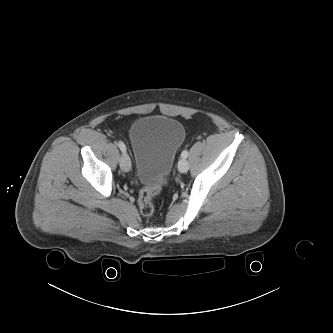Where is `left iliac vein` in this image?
<instances>
[{
  "mask_svg": "<svg viewBox=\"0 0 333 333\" xmlns=\"http://www.w3.org/2000/svg\"><path fill=\"white\" fill-rule=\"evenodd\" d=\"M178 169L181 173H186L189 169V163L186 159H181L178 163Z\"/></svg>",
  "mask_w": 333,
  "mask_h": 333,
  "instance_id": "left-iliac-vein-1",
  "label": "left iliac vein"
}]
</instances>
